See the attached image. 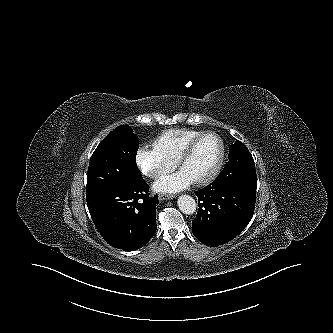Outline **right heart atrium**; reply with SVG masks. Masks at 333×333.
Returning a JSON list of instances; mask_svg holds the SVG:
<instances>
[{
    "mask_svg": "<svg viewBox=\"0 0 333 333\" xmlns=\"http://www.w3.org/2000/svg\"><path fill=\"white\" fill-rule=\"evenodd\" d=\"M135 160L141 173L151 179H159L176 165L174 161L147 146L138 149Z\"/></svg>",
    "mask_w": 333,
    "mask_h": 333,
    "instance_id": "right-heart-atrium-1",
    "label": "right heart atrium"
}]
</instances>
